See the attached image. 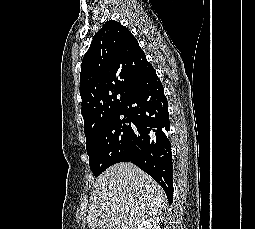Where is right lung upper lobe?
Listing matches in <instances>:
<instances>
[{"mask_svg": "<svg viewBox=\"0 0 255 229\" xmlns=\"http://www.w3.org/2000/svg\"><path fill=\"white\" fill-rule=\"evenodd\" d=\"M150 68L129 30L117 21H107L82 61L80 95L86 139L112 115L123 111L136 81Z\"/></svg>", "mask_w": 255, "mask_h": 229, "instance_id": "1", "label": "right lung upper lobe"}]
</instances>
